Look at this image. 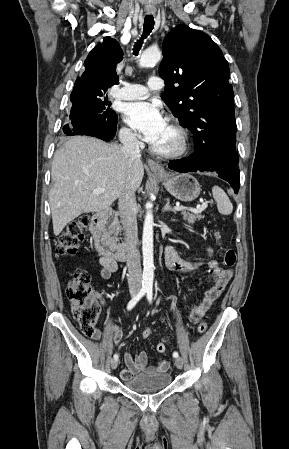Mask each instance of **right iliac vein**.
Returning a JSON list of instances; mask_svg holds the SVG:
<instances>
[{"label":"right iliac vein","instance_id":"1","mask_svg":"<svg viewBox=\"0 0 289 449\" xmlns=\"http://www.w3.org/2000/svg\"><path fill=\"white\" fill-rule=\"evenodd\" d=\"M117 366H118V360H112L111 361V368L112 369H116L117 368Z\"/></svg>","mask_w":289,"mask_h":449}]
</instances>
